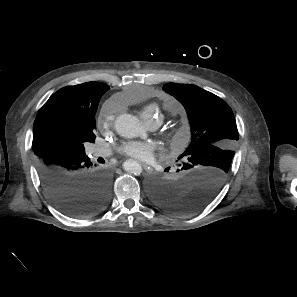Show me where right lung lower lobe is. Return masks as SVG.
Instances as JSON below:
<instances>
[{
	"mask_svg": "<svg viewBox=\"0 0 297 297\" xmlns=\"http://www.w3.org/2000/svg\"><path fill=\"white\" fill-rule=\"evenodd\" d=\"M42 186L52 202L70 216L97 213L108 201L110 178L83 154L48 151L37 161Z\"/></svg>",
	"mask_w": 297,
	"mask_h": 297,
	"instance_id": "obj_1",
	"label": "right lung lower lobe"
}]
</instances>
